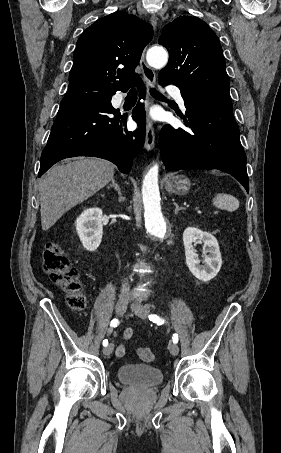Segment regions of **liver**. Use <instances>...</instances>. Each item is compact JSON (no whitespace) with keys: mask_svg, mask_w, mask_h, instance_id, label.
I'll return each mask as SVG.
<instances>
[{"mask_svg":"<svg viewBox=\"0 0 281 453\" xmlns=\"http://www.w3.org/2000/svg\"><path fill=\"white\" fill-rule=\"evenodd\" d=\"M115 166L102 158H76L68 164H55L39 180L40 212L43 231L56 220L90 198L112 180Z\"/></svg>","mask_w":281,"mask_h":453,"instance_id":"obj_1","label":"liver"}]
</instances>
